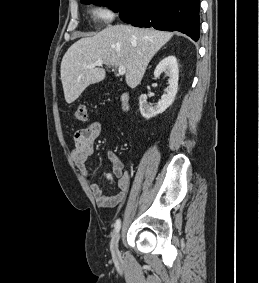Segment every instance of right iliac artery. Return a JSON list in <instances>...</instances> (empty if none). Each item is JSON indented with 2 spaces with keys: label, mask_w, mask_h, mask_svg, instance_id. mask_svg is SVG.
<instances>
[{
  "label": "right iliac artery",
  "mask_w": 259,
  "mask_h": 283,
  "mask_svg": "<svg viewBox=\"0 0 259 283\" xmlns=\"http://www.w3.org/2000/svg\"><path fill=\"white\" fill-rule=\"evenodd\" d=\"M120 228H121V221H120V219H117V221L115 223V233H118Z\"/></svg>",
  "instance_id": "82829eb1"
}]
</instances>
